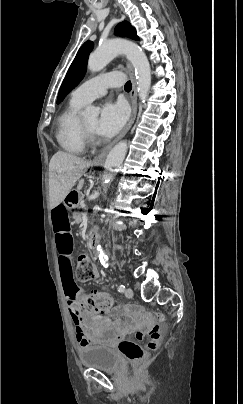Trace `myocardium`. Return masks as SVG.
Segmentation results:
<instances>
[{"mask_svg":"<svg viewBox=\"0 0 243 404\" xmlns=\"http://www.w3.org/2000/svg\"><path fill=\"white\" fill-rule=\"evenodd\" d=\"M96 34H99V33H96ZM101 43L104 45L105 40L102 39ZM79 129H80V131H81V133H82V135L84 136L85 139L90 140L93 137V132L87 130L81 121L79 123Z\"/></svg>","mask_w":243,"mask_h":404,"instance_id":"myocardium-1","label":"myocardium"}]
</instances>
